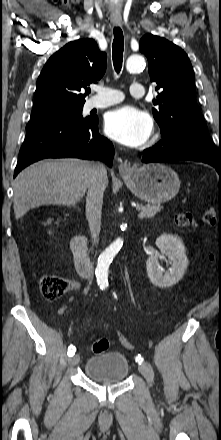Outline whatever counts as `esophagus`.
Returning a JSON list of instances; mask_svg holds the SVG:
<instances>
[{"mask_svg": "<svg viewBox=\"0 0 221 440\" xmlns=\"http://www.w3.org/2000/svg\"><path fill=\"white\" fill-rule=\"evenodd\" d=\"M111 23L114 26H122L123 21H122L121 17H112ZM118 170H119V173L124 176V175H128L131 173L132 167H131L130 163H128V162H121L118 165Z\"/></svg>", "mask_w": 221, "mask_h": 440, "instance_id": "obj_1", "label": "esophagus"}]
</instances>
